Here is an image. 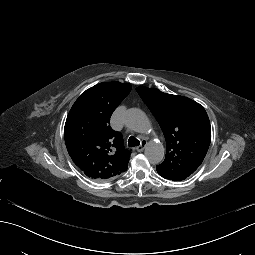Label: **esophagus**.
<instances>
[{"label":"esophagus","mask_w":255,"mask_h":255,"mask_svg":"<svg viewBox=\"0 0 255 255\" xmlns=\"http://www.w3.org/2000/svg\"><path fill=\"white\" fill-rule=\"evenodd\" d=\"M145 146H146V142L141 141V145L137 146V148H136L137 152H142L144 150Z\"/></svg>","instance_id":"34e87169"}]
</instances>
